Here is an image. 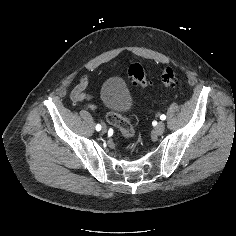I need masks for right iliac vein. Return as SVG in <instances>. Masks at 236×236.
Listing matches in <instances>:
<instances>
[{"label": "right iliac vein", "mask_w": 236, "mask_h": 236, "mask_svg": "<svg viewBox=\"0 0 236 236\" xmlns=\"http://www.w3.org/2000/svg\"><path fill=\"white\" fill-rule=\"evenodd\" d=\"M107 132V127L105 125L102 126V133H106Z\"/></svg>", "instance_id": "obj_1"}]
</instances>
